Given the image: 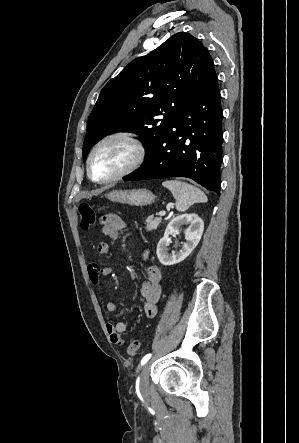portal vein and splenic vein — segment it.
<instances>
[{"label": "portal vein and splenic vein", "instance_id": "18ae733b", "mask_svg": "<svg viewBox=\"0 0 299 443\" xmlns=\"http://www.w3.org/2000/svg\"><path fill=\"white\" fill-rule=\"evenodd\" d=\"M158 215H159L160 217H163V216L166 215V212H165V211H161V212L158 213Z\"/></svg>", "mask_w": 299, "mask_h": 443}]
</instances>
